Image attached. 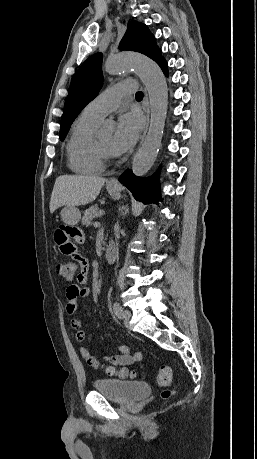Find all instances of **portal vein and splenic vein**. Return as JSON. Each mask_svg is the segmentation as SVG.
<instances>
[{"label":"portal vein and splenic vein","instance_id":"obj_1","mask_svg":"<svg viewBox=\"0 0 257 459\" xmlns=\"http://www.w3.org/2000/svg\"><path fill=\"white\" fill-rule=\"evenodd\" d=\"M104 214H105L104 211H100V212H99V215H100V216H102V215H104Z\"/></svg>","mask_w":257,"mask_h":459}]
</instances>
